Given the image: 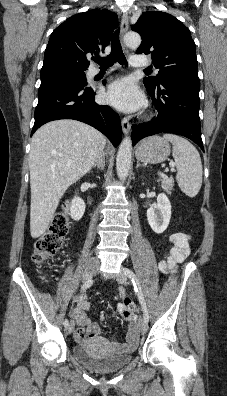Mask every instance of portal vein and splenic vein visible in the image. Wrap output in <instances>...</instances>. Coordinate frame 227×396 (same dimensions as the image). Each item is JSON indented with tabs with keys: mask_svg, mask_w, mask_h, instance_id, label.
<instances>
[{
	"mask_svg": "<svg viewBox=\"0 0 227 396\" xmlns=\"http://www.w3.org/2000/svg\"><path fill=\"white\" fill-rule=\"evenodd\" d=\"M172 167H174V163L171 164ZM174 170V169H173ZM163 176V174H161Z\"/></svg>",
	"mask_w": 227,
	"mask_h": 396,
	"instance_id": "18ae733b",
	"label": "portal vein and splenic vein"
}]
</instances>
